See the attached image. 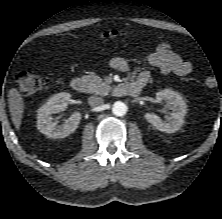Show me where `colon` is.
<instances>
[{
	"label": "colon",
	"instance_id": "obj_1",
	"mask_svg": "<svg viewBox=\"0 0 222 219\" xmlns=\"http://www.w3.org/2000/svg\"><path fill=\"white\" fill-rule=\"evenodd\" d=\"M124 35L118 30H111L103 33L104 38H117ZM17 86L23 93L34 94L42 91L48 85V78L45 76L37 75L29 70H20L16 76ZM204 85L208 89H212L217 85V79L213 76H207L204 79Z\"/></svg>",
	"mask_w": 222,
	"mask_h": 219
}]
</instances>
